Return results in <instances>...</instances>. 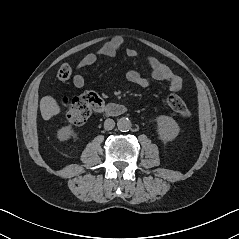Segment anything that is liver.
Instances as JSON below:
<instances>
[{
  "instance_id": "6515ba94",
  "label": "liver",
  "mask_w": 239,
  "mask_h": 239,
  "mask_svg": "<svg viewBox=\"0 0 239 239\" xmlns=\"http://www.w3.org/2000/svg\"><path fill=\"white\" fill-rule=\"evenodd\" d=\"M40 112L44 120H49L60 113V107L52 96H44L40 100Z\"/></svg>"
}]
</instances>
